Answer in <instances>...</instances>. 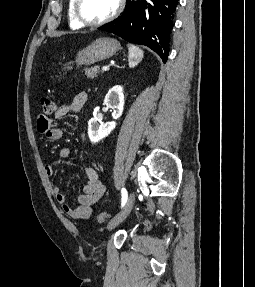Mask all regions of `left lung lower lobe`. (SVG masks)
Here are the masks:
<instances>
[{
	"mask_svg": "<svg viewBox=\"0 0 255 287\" xmlns=\"http://www.w3.org/2000/svg\"><path fill=\"white\" fill-rule=\"evenodd\" d=\"M178 0H127L122 15L99 30L154 50L166 62Z\"/></svg>",
	"mask_w": 255,
	"mask_h": 287,
	"instance_id": "0a47b994",
	"label": "left lung lower lobe"
}]
</instances>
